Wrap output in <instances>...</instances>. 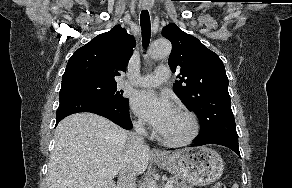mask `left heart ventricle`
<instances>
[{
  "instance_id": "b2bd125f",
  "label": "left heart ventricle",
  "mask_w": 292,
  "mask_h": 188,
  "mask_svg": "<svg viewBox=\"0 0 292 188\" xmlns=\"http://www.w3.org/2000/svg\"><path fill=\"white\" fill-rule=\"evenodd\" d=\"M190 130L191 124L189 119L185 115L175 110L173 116L169 120L161 135L168 138H181L187 135Z\"/></svg>"
}]
</instances>
